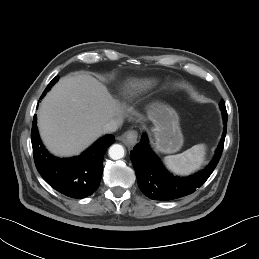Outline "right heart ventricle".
Returning <instances> with one entry per match:
<instances>
[{
	"instance_id": "right-heart-ventricle-1",
	"label": "right heart ventricle",
	"mask_w": 259,
	"mask_h": 259,
	"mask_svg": "<svg viewBox=\"0 0 259 259\" xmlns=\"http://www.w3.org/2000/svg\"><path fill=\"white\" fill-rule=\"evenodd\" d=\"M150 83L147 82V81H141V82H136L134 84V87H137V88H140V87H146V86H149Z\"/></svg>"
}]
</instances>
